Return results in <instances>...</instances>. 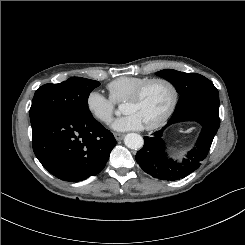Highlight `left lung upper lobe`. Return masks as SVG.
<instances>
[{
	"label": "left lung upper lobe",
	"instance_id": "5c2ea615",
	"mask_svg": "<svg viewBox=\"0 0 245 245\" xmlns=\"http://www.w3.org/2000/svg\"><path fill=\"white\" fill-rule=\"evenodd\" d=\"M156 75L171 82L180 94L172 117L196 105L219 106L218 90L209 79L200 74L165 69L156 72Z\"/></svg>",
	"mask_w": 245,
	"mask_h": 245
}]
</instances>
